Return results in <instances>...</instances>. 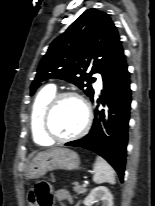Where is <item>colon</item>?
<instances>
[{
    "instance_id": "1",
    "label": "colon",
    "mask_w": 155,
    "mask_h": 206,
    "mask_svg": "<svg viewBox=\"0 0 155 206\" xmlns=\"http://www.w3.org/2000/svg\"><path fill=\"white\" fill-rule=\"evenodd\" d=\"M31 203L39 206H51L52 196L50 185L47 182L37 183L28 194Z\"/></svg>"
}]
</instances>
